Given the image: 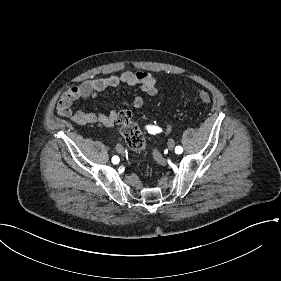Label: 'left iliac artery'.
I'll return each instance as SVG.
<instances>
[{
  "mask_svg": "<svg viewBox=\"0 0 281 281\" xmlns=\"http://www.w3.org/2000/svg\"><path fill=\"white\" fill-rule=\"evenodd\" d=\"M160 131H161V129L158 128V127H155V126H149V127H148V132L156 133V132H160ZM182 151H183V148H182L181 146H176L175 152H176L177 154H181Z\"/></svg>",
  "mask_w": 281,
  "mask_h": 281,
  "instance_id": "obj_1",
  "label": "left iliac artery"
}]
</instances>
